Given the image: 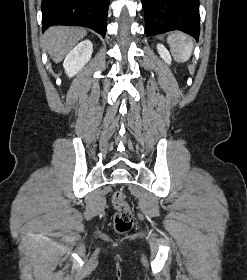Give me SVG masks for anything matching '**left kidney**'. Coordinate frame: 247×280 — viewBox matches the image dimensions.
<instances>
[{
    "mask_svg": "<svg viewBox=\"0 0 247 280\" xmlns=\"http://www.w3.org/2000/svg\"><path fill=\"white\" fill-rule=\"evenodd\" d=\"M157 51L160 55V57L167 63L168 65L171 64V55L169 51L166 49V47L162 44H157Z\"/></svg>",
    "mask_w": 247,
    "mask_h": 280,
    "instance_id": "1",
    "label": "left kidney"
}]
</instances>
